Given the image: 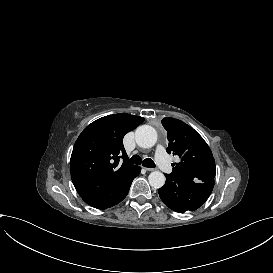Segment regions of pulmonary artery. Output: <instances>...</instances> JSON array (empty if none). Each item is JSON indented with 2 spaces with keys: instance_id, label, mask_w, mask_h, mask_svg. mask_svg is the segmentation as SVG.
Wrapping results in <instances>:
<instances>
[{
  "instance_id": "pulmonary-artery-1",
  "label": "pulmonary artery",
  "mask_w": 273,
  "mask_h": 273,
  "mask_svg": "<svg viewBox=\"0 0 273 273\" xmlns=\"http://www.w3.org/2000/svg\"><path fill=\"white\" fill-rule=\"evenodd\" d=\"M156 150L158 151L157 163L159 164V167L163 169V171L167 173L169 177H172L174 175V171L172 170L170 162L167 160L165 149L161 145H158Z\"/></svg>"
}]
</instances>
